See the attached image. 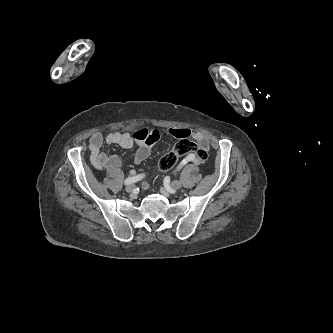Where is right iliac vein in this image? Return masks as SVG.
Returning a JSON list of instances; mask_svg holds the SVG:
<instances>
[{"label":"right iliac vein","mask_w":333,"mask_h":333,"mask_svg":"<svg viewBox=\"0 0 333 333\" xmlns=\"http://www.w3.org/2000/svg\"><path fill=\"white\" fill-rule=\"evenodd\" d=\"M133 190H134V185H128L127 187H126V191L127 192H129V193H131V192H133Z\"/></svg>","instance_id":"1"}]
</instances>
